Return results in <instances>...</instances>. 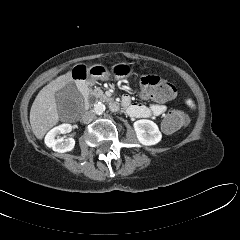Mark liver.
Returning a JSON list of instances; mask_svg holds the SVG:
<instances>
[{
  "instance_id": "liver-1",
  "label": "liver",
  "mask_w": 240,
  "mask_h": 240,
  "mask_svg": "<svg viewBox=\"0 0 240 240\" xmlns=\"http://www.w3.org/2000/svg\"><path fill=\"white\" fill-rule=\"evenodd\" d=\"M73 81L72 72L57 77L36 96L30 110V124L36 138L42 139L59 121L55 93Z\"/></svg>"
}]
</instances>
